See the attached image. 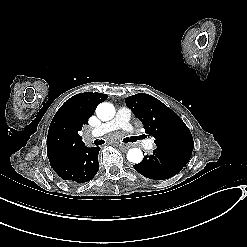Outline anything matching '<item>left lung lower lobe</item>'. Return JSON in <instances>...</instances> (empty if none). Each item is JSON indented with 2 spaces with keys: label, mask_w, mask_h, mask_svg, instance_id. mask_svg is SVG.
<instances>
[{
  "label": "left lung lower lobe",
  "mask_w": 247,
  "mask_h": 247,
  "mask_svg": "<svg viewBox=\"0 0 247 247\" xmlns=\"http://www.w3.org/2000/svg\"><path fill=\"white\" fill-rule=\"evenodd\" d=\"M187 163L188 160L157 148L133 167L146 178L164 180L176 175Z\"/></svg>",
  "instance_id": "obj_1"
}]
</instances>
